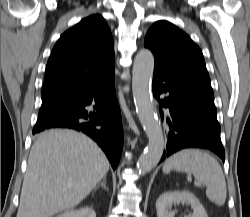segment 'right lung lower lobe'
<instances>
[{"instance_id":"98d812e1","label":"right lung lower lobe","mask_w":250,"mask_h":217,"mask_svg":"<svg viewBox=\"0 0 250 217\" xmlns=\"http://www.w3.org/2000/svg\"><path fill=\"white\" fill-rule=\"evenodd\" d=\"M90 105L94 108L91 112L85 109ZM50 128H68L87 134L102 148L115 169L123 148V128L114 70L88 86L42 101L33 134Z\"/></svg>"}]
</instances>
